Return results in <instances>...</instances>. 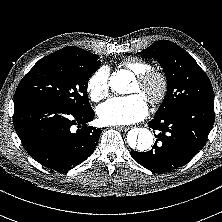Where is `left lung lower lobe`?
Wrapping results in <instances>:
<instances>
[{"label":"left lung lower lobe","mask_w":222,"mask_h":222,"mask_svg":"<svg viewBox=\"0 0 222 222\" xmlns=\"http://www.w3.org/2000/svg\"><path fill=\"white\" fill-rule=\"evenodd\" d=\"M215 121L214 104L195 103L172 112L155 115L148 124L157 141L148 152L131 151L132 158L145 168L168 172L188 163L205 145Z\"/></svg>","instance_id":"0a47b994"}]
</instances>
